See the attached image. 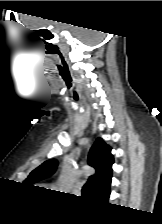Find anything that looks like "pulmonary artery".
<instances>
[{"label":"pulmonary artery","mask_w":162,"mask_h":224,"mask_svg":"<svg viewBox=\"0 0 162 224\" xmlns=\"http://www.w3.org/2000/svg\"><path fill=\"white\" fill-rule=\"evenodd\" d=\"M80 185L79 184H77L75 187H74V191L75 192H79V190H80Z\"/></svg>","instance_id":"e3ab8cb5"}]
</instances>
